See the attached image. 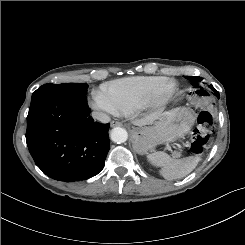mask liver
Instances as JSON below:
<instances>
[{
    "label": "liver",
    "mask_w": 245,
    "mask_h": 245,
    "mask_svg": "<svg viewBox=\"0 0 245 245\" xmlns=\"http://www.w3.org/2000/svg\"><path fill=\"white\" fill-rule=\"evenodd\" d=\"M157 118V114H152L147 116L146 118L135 121V124L138 126H144L147 124H151Z\"/></svg>",
    "instance_id": "1"
}]
</instances>
